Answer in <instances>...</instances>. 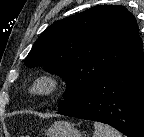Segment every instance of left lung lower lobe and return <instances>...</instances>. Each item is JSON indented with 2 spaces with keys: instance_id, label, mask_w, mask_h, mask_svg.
<instances>
[{
  "instance_id": "left-lung-lower-lobe-1",
  "label": "left lung lower lobe",
  "mask_w": 144,
  "mask_h": 137,
  "mask_svg": "<svg viewBox=\"0 0 144 137\" xmlns=\"http://www.w3.org/2000/svg\"><path fill=\"white\" fill-rule=\"evenodd\" d=\"M59 114L108 124L128 137H144V55L142 40L83 98Z\"/></svg>"
}]
</instances>
